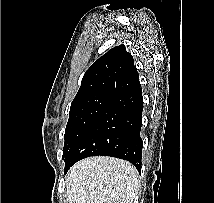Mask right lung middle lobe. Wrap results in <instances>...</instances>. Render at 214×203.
<instances>
[{"label": "right lung middle lobe", "instance_id": "1", "mask_svg": "<svg viewBox=\"0 0 214 203\" xmlns=\"http://www.w3.org/2000/svg\"><path fill=\"white\" fill-rule=\"evenodd\" d=\"M112 99L113 98L108 96L92 95L73 100L70 107L69 120L65 129L63 160L66 161L68 159L83 134Z\"/></svg>", "mask_w": 214, "mask_h": 203}]
</instances>
